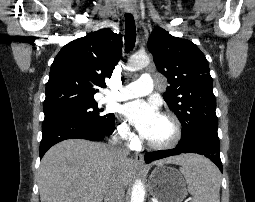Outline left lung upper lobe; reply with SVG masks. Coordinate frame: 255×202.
Masks as SVG:
<instances>
[{
  "label": "left lung upper lobe",
  "instance_id": "left-lung-upper-lobe-1",
  "mask_svg": "<svg viewBox=\"0 0 255 202\" xmlns=\"http://www.w3.org/2000/svg\"><path fill=\"white\" fill-rule=\"evenodd\" d=\"M148 49L170 84L163 97L182 124L181 142L219 139L216 100L204 54L191 41L159 27L152 31Z\"/></svg>",
  "mask_w": 255,
  "mask_h": 202
}]
</instances>
